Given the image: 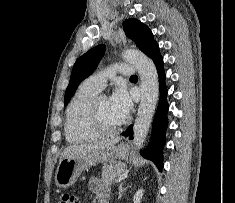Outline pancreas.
<instances>
[{
  "label": "pancreas",
  "mask_w": 235,
  "mask_h": 203,
  "mask_svg": "<svg viewBox=\"0 0 235 203\" xmlns=\"http://www.w3.org/2000/svg\"><path fill=\"white\" fill-rule=\"evenodd\" d=\"M125 171V164L117 163L106 165L102 168L101 177L106 184L116 182L117 178Z\"/></svg>",
  "instance_id": "1"
}]
</instances>
